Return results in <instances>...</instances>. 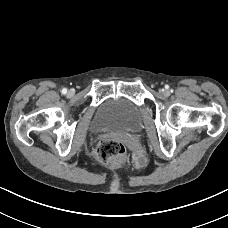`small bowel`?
<instances>
[{
  "mask_svg": "<svg viewBox=\"0 0 228 228\" xmlns=\"http://www.w3.org/2000/svg\"><path fill=\"white\" fill-rule=\"evenodd\" d=\"M133 162L136 167H143L145 165V158L141 154H134L133 155Z\"/></svg>",
  "mask_w": 228,
  "mask_h": 228,
  "instance_id": "1",
  "label": "small bowel"
}]
</instances>
